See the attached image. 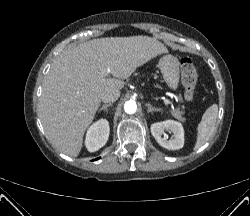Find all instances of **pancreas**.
<instances>
[{
	"instance_id": "obj_1",
	"label": "pancreas",
	"mask_w": 250,
	"mask_h": 216,
	"mask_svg": "<svg viewBox=\"0 0 250 216\" xmlns=\"http://www.w3.org/2000/svg\"><path fill=\"white\" fill-rule=\"evenodd\" d=\"M171 114L173 115L174 118H176L178 120H185V118L182 117L184 112L179 110V109L172 110Z\"/></svg>"
}]
</instances>
